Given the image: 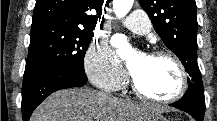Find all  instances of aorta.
I'll return each mask as SVG.
<instances>
[{"mask_svg": "<svg viewBox=\"0 0 217 121\" xmlns=\"http://www.w3.org/2000/svg\"><path fill=\"white\" fill-rule=\"evenodd\" d=\"M133 0H113V10L116 16L120 19L125 17L131 10Z\"/></svg>", "mask_w": 217, "mask_h": 121, "instance_id": "aorta-1", "label": "aorta"}]
</instances>
